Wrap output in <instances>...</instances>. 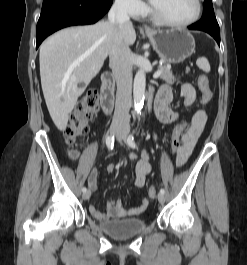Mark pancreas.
<instances>
[{
    "mask_svg": "<svg viewBox=\"0 0 247 265\" xmlns=\"http://www.w3.org/2000/svg\"><path fill=\"white\" fill-rule=\"evenodd\" d=\"M160 78L168 83H174L176 81L175 76L172 74V71L168 66H161L160 67ZM189 72V69L186 70V73Z\"/></svg>",
    "mask_w": 247,
    "mask_h": 265,
    "instance_id": "obj_1",
    "label": "pancreas"
}]
</instances>
